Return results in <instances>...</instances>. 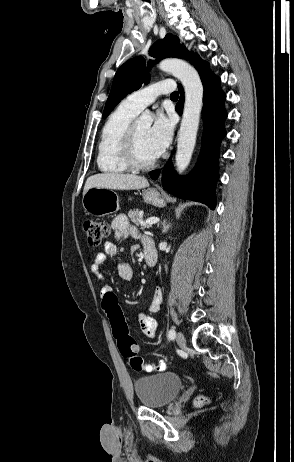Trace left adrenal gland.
<instances>
[{
	"mask_svg": "<svg viewBox=\"0 0 294 462\" xmlns=\"http://www.w3.org/2000/svg\"><path fill=\"white\" fill-rule=\"evenodd\" d=\"M169 227H170V224H167L166 221H164V223H163V232L167 233Z\"/></svg>",
	"mask_w": 294,
	"mask_h": 462,
	"instance_id": "a2214340",
	"label": "left adrenal gland"
}]
</instances>
